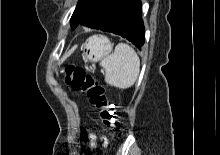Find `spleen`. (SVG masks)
Masks as SVG:
<instances>
[{
  "label": "spleen",
  "instance_id": "obj_1",
  "mask_svg": "<svg viewBox=\"0 0 220 155\" xmlns=\"http://www.w3.org/2000/svg\"><path fill=\"white\" fill-rule=\"evenodd\" d=\"M105 69V82L119 89H127L136 82L140 71V59L135 50L125 43L116 45L114 53L100 62Z\"/></svg>",
  "mask_w": 220,
  "mask_h": 155
}]
</instances>
